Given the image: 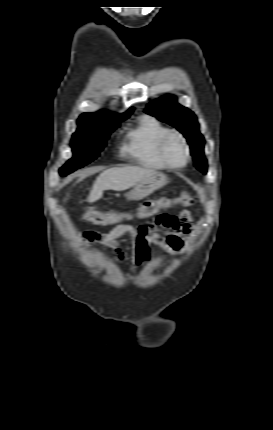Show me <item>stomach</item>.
I'll return each mask as SVG.
<instances>
[{"label":"stomach","instance_id":"obj_1","mask_svg":"<svg viewBox=\"0 0 273 430\" xmlns=\"http://www.w3.org/2000/svg\"><path fill=\"white\" fill-rule=\"evenodd\" d=\"M166 182L167 177L163 173L154 171L137 182L133 190L127 194V198L129 200H141L164 186Z\"/></svg>","mask_w":273,"mask_h":430}]
</instances>
